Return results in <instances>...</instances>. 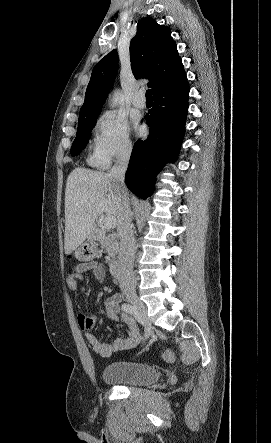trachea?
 Returning a JSON list of instances; mask_svg holds the SVG:
<instances>
[{
    "mask_svg": "<svg viewBox=\"0 0 271 443\" xmlns=\"http://www.w3.org/2000/svg\"><path fill=\"white\" fill-rule=\"evenodd\" d=\"M146 99L147 100H152V92H151V90H147L146 91Z\"/></svg>",
    "mask_w": 271,
    "mask_h": 443,
    "instance_id": "obj_1",
    "label": "trachea"
}]
</instances>
